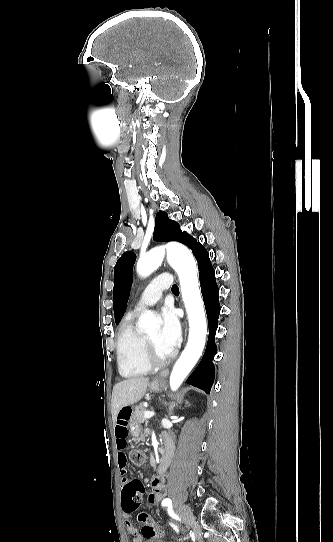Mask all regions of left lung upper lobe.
Segmentation results:
<instances>
[{
  "label": "left lung upper lobe",
  "instance_id": "left-lung-upper-lobe-1",
  "mask_svg": "<svg viewBox=\"0 0 333 542\" xmlns=\"http://www.w3.org/2000/svg\"><path fill=\"white\" fill-rule=\"evenodd\" d=\"M153 237L154 240L161 242H181L188 246L192 250L193 254H195L198 248L201 246L200 242H197L186 232H182L179 224L169 219L167 213L163 211H159L156 214ZM135 260V253L125 252L121 258L118 259L114 268L113 300L116 324L120 322L126 309L130 294L133 277V265Z\"/></svg>",
  "mask_w": 333,
  "mask_h": 542
}]
</instances>
